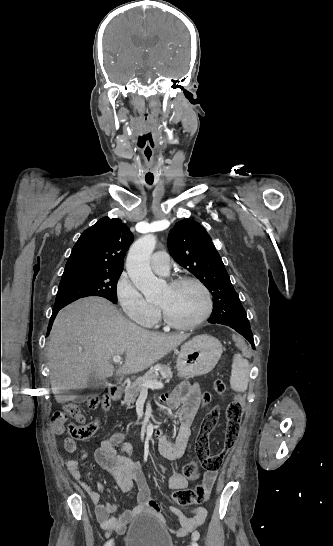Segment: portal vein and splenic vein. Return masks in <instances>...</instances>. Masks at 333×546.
<instances>
[{
    "label": "portal vein and splenic vein",
    "instance_id": "18ae733b",
    "mask_svg": "<svg viewBox=\"0 0 333 546\" xmlns=\"http://www.w3.org/2000/svg\"><path fill=\"white\" fill-rule=\"evenodd\" d=\"M121 359L122 358L119 355H115L112 357V361L114 363H121ZM148 388H151V389L163 388V383L160 381H150V382H145L142 384V390H147Z\"/></svg>",
    "mask_w": 333,
    "mask_h": 546
}]
</instances>
